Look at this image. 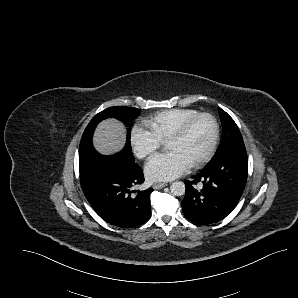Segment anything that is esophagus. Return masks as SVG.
<instances>
[{
  "instance_id": "1",
  "label": "esophagus",
  "mask_w": 298,
  "mask_h": 298,
  "mask_svg": "<svg viewBox=\"0 0 298 298\" xmlns=\"http://www.w3.org/2000/svg\"><path fill=\"white\" fill-rule=\"evenodd\" d=\"M167 184L166 183H164V182H155L153 185H152V187H153V189H161V188H163V187H165Z\"/></svg>"
}]
</instances>
